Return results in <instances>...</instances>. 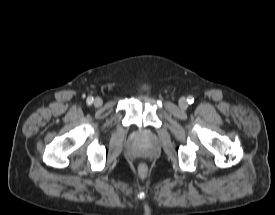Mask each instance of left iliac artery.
Listing matches in <instances>:
<instances>
[{
    "label": "left iliac artery",
    "mask_w": 275,
    "mask_h": 215,
    "mask_svg": "<svg viewBox=\"0 0 275 215\" xmlns=\"http://www.w3.org/2000/svg\"><path fill=\"white\" fill-rule=\"evenodd\" d=\"M187 101L189 104H192L194 102V98L192 96H188Z\"/></svg>",
    "instance_id": "1"
}]
</instances>
